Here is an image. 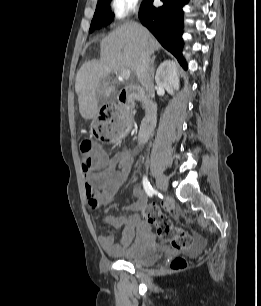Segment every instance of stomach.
Masks as SVG:
<instances>
[{
  "label": "stomach",
  "instance_id": "0dacf381",
  "mask_svg": "<svg viewBox=\"0 0 261 306\" xmlns=\"http://www.w3.org/2000/svg\"><path fill=\"white\" fill-rule=\"evenodd\" d=\"M131 129V119L129 116H127L124 120L123 123V128H122V135H126Z\"/></svg>",
  "mask_w": 261,
  "mask_h": 306
}]
</instances>
